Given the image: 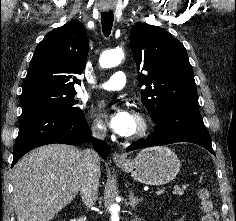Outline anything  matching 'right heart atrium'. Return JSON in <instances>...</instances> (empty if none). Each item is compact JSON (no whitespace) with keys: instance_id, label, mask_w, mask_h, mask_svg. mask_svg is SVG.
I'll list each match as a JSON object with an SVG mask.
<instances>
[{"instance_id":"right-heart-atrium-1","label":"right heart atrium","mask_w":236,"mask_h":221,"mask_svg":"<svg viewBox=\"0 0 236 221\" xmlns=\"http://www.w3.org/2000/svg\"><path fill=\"white\" fill-rule=\"evenodd\" d=\"M91 131L95 137L103 138L107 132L106 125L101 119L94 118L91 125Z\"/></svg>"}]
</instances>
